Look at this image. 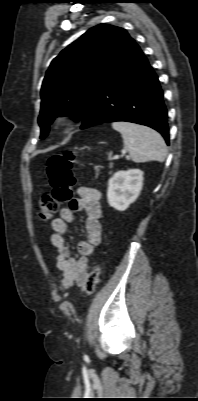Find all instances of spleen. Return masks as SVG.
<instances>
[{
    "mask_svg": "<svg viewBox=\"0 0 198 401\" xmlns=\"http://www.w3.org/2000/svg\"><path fill=\"white\" fill-rule=\"evenodd\" d=\"M112 127L121 133L124 148L134 162H163L165 160L167 147L158 132L149 127L121 121L113 122Z\"/></svg>",
    "mask_w": 198,
    "mask_h": 401,
    "instance_id": "1",
    "label": "spleen"
}]
</instances>
